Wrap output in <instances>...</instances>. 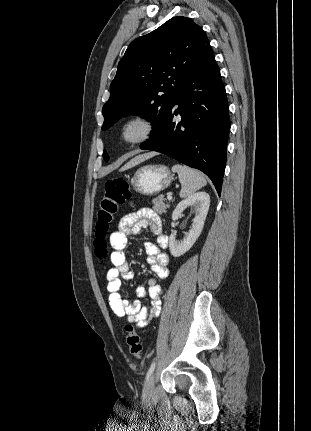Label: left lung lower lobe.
<instances>
[{"label":"left lung lower lobe","instance_id":"left-lung-lower-lobe-1","mask_svg":"<svg viewBox=\"0 0 311 431\" xmlns=\"http://www.w3.org/2000/svg\"><path fill=\"white\" fill-rule=\"evenodd\" d=\"M229 131L225 87L210 49L182 83L156 133L140 148L201 170L220 195Z\"/></svg>","mask_w":311,"mask_h":431}]
</instances>
